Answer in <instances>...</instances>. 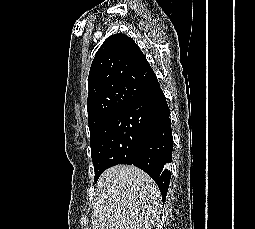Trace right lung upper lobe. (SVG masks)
Segmentation results:
<instances>
[{
    "label": "right lung upper lobe",
    "mask_w": 255,
    "mask_h": 229,
    "mask_svg": "<svg viewBox=\"0 0 255 229\" xmlns=\"http://www.w3.org/2000/svg\"><path fill=\"white\" fill-rule=\"evenodd\" d=\"M156 75L132 38L108 37L97 51L88 77L90 135L116 113L145 97Z\"/></svg>",
    "instance_id": "cb5924a9"
}]
</instances>
